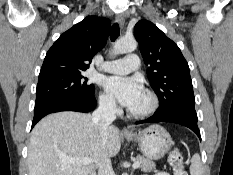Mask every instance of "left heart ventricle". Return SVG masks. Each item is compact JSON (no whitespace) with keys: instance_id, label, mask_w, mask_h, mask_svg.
<instances>
[{"instance_id":"b2bd125f","label":"left heart ventricle","mask_w":233,"mask_h":175,"mask_svg":"<svg viewBox=\"0 0 233 175\" xmlns=\"http://www.w3.org/2000/svg\"><path fill=\"white\" fill-rule=\"evenodd\" d=\"M146 105V99L143 95V97L141 98L140 102L133 108H131V110H139L142 109L144 106Z\"/></svg>"}]
</instances>
